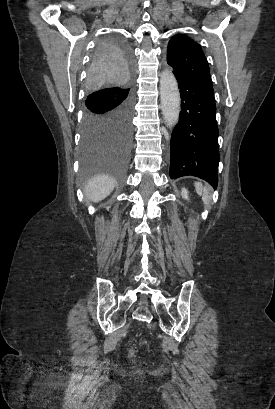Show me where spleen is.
<instances>
[{
	"mask_svg": "<svg viewBox=\"0 0 275 409\" xmlns=\"http://www.w3.org/2000/svg\"><path fill=\"white\" fill-rule=\"evenodd\" d=\"M195 188L198 194H201L204 205H209L210 196L207 186H203L202 182H195Z\"/></svg>",
	"mask_w": 275,
	"mask_h": 409,
	"instance_id": "3e777b00",
	"label": "spleen"
}]
</instances>
